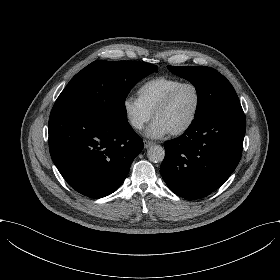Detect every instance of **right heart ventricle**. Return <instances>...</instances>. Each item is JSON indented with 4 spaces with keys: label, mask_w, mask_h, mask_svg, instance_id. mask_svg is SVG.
Masks as SVG:
<instances>
[{
    "label": "right heart ventricle",
    "mask_w": 280,
    "mask_h": 280,
    "mask_svg": "<svg viewBox=\"0 0 280 280\" xmlns=\"http://www.w3.org/2000/svg\"><path fill=\"white\" fill-rule=\"evenodd\" d=\"M182 81L179 77L165 75L149 78L137 88L138 99L154 113L157 105Z\"/></svg>",
    "instance_id": "obj_1"
}]
</instances>
